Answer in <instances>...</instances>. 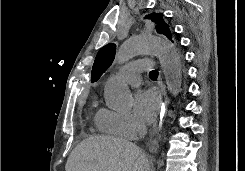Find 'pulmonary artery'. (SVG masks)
Returning <instances> with one entry per match:
<instances>
[{"mask_svg": "<svg viewBox=\"0 0 245 171\" xmlns=\"http://www.w3.org/2000/svg\"><path fill=\"white\" fill-rule=\"evenodd\" d=\"M149 68V61H132L119 70V76L130 84L138 85L140 83V73L148 70Z\"/></svg>", "mask_w": 245, "mask_h": 171, "instance_id": "e3ab8cb5", "label": "pulmonary artery"}]
</instances>
